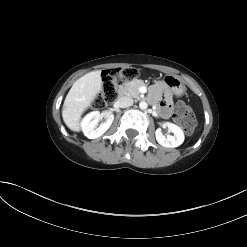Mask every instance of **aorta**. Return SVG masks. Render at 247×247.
I'll return each instance as SVG.
<instances>
[{
	"instance_id": "762f6f07",
	"label": "aorta",
	"mask_w": 247,
	"mask_h": 247,
	"mask_svg": "<svg viewBox=\"0 0 247 247\" xmlns=\"http://www.w3.org/2000/svg\"><path fill=\"white\" fill-rule=\"evenodd\" d=\"M147 107H148V104H147L145 101H141V102L139 103V108H140L141 110H145V109H147Z\"/></svg>"
}]
</instances>
